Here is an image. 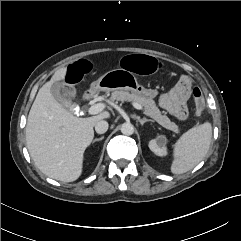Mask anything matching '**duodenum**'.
<instances>
[{"label":"duodenum","instance_id":"410a0bca","mask_svg":"<svg viewBox=\"0 0 241 241\" xmlns=\"http://www.w3.org/2000/svg\"><path fill=\"white\" fill-rule=\"evenodd\" d=\"M92 94H93V92H92L91 90L85 91L84 94H83V99H84L85 101L91 99Z\"/></svg>","mask_w":241,"mask_h":241}]
</instances>
